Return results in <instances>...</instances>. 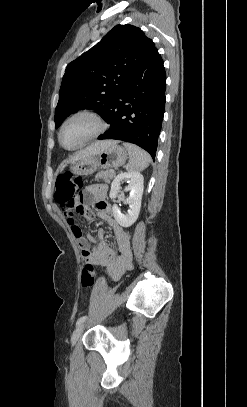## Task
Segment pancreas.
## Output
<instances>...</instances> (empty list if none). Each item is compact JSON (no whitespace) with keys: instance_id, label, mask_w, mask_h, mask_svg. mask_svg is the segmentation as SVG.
<instances>
[{"instance_id":"pancreas-1","label":"pancreas","mask_w":247,"mask_h":407,"mask_svg":"<svg viewBox=\"0 0 247 407\" xmlns=\"http://www.w3.org/2000/svg\"><path fill=\"white\" fill-rule=\"evenodd\" d=\"M115 177L114 170H106L100 171L96 174L95 179H103L106 183H110V181Z\"/></svg>"}]
</instances>
